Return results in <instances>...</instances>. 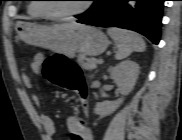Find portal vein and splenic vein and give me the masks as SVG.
I'll list each match as a JSON object with an SVG mask.
<instances>
[{"label": "portal vein and splenic vein", "mask_w": 182, "mask_h": 140, "mask_svg": "<svg viewBox=\"0 0 182 140\" xmlns=\"http://www.w3.org/2000/svg\"><path fill=\"white\" fill-rule=\"evenodd\" d=\"M98 63H100V64L103 63V59H99Z\"/></svg>", "instance_id": "portal-vein-and-splenic-vein-1"}]
</instances>
